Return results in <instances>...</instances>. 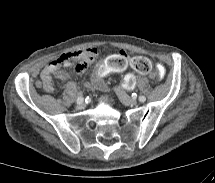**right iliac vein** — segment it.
Here are the masks:
<instances>
[{
    "label": "right iliac vein",
    "instance_id": "right-iliac-vein-1",
    "mask_svg": "<svg viewBox=\"0 0 215 183\" xmlns=\"http://www.w3.org/2000/svg\"><path fill=\"white\" fill-rule=\"evenodd\" d=\"M84 106H85V104H84L83 101H82L81 103H78V104H77V108H78V109H83Z\"/></svg>",
    "mask_w": 215,
    "mask_h": 183
}]
</instances>
